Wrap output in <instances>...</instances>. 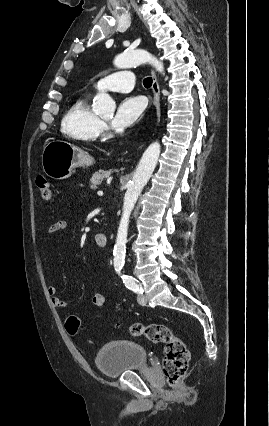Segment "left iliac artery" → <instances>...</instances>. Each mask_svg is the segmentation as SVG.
<instances>
[{"instance_id": "left-iliac-artery-1", "label": "left iliac artery", "mask_w": 269, "mask_h": 426, "mask_svg": "<svg viewBox=\"0 0 269 426\" xmlns=\"http://www.w3.org/2000/svg\"><path fill=\"white\" fill-rule=\"evenodd\" d=\"M122 268H116V271L120 274V270ZM121 278L123 279V282L125 283L126 287L138 294H143V288L137 283V280L133 278L132 276H126L122 275Z\"/></svg>"}]
</instances>
